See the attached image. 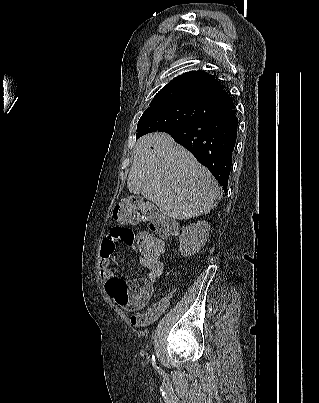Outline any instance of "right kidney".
<instances>
[{
    "mask_svg": "<svg viewBox=\"0 0 319 403\" xmlns=\"http://www.w3.org/2000/svg\"><path fill=\"white\" fill-rule=\"evenodd\" d=\"M210 232V225L206 221H198L183 228L179 236V251L184 257L198 253L206 244Z\"/></svg>",
    "mask_w": 319,
    "mask_h": 403,
    "instance_id": "ca27d5eb",
    "label": "right kidney"
}]
</instances>
